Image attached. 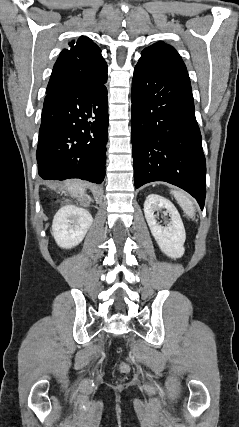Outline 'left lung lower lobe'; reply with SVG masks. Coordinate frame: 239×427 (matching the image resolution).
Masks as SVG:
<instances>
[{"label": "left lung lower lobe", "instance_id": "left-lung-lower-lobe-1", "mask_svg": "<svg viewBox=\"0 0 239 427\" xmlns=\"http://www.w3.org/2000/svg\"><path fill=\"white\" fill-rule=\"evenodd\" d=\"M131 99L135 187L165 181L203 209L206 163L191 84L138 62Z\"/></svg>", "mask_w": 239, "mask_h": 427}]
</instances>
